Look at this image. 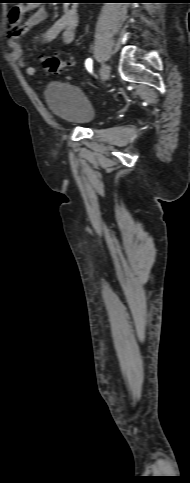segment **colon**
Segmentation results:
<instances>
[{
    "instance_id": "colon-1",
    "label": "colon",
    "mask_w": 190,
    "mask_h": 483,
    "mask_svg": "<svg viewBox=\"0 0 190 483\" xmlns=\"http://www.w3.org/2000/svg\"><path fill=\"white\" fill-rule=\"evenodd\" d=\"M71 64L70 60H62L53 54H47L43 57V69L47 74L60 75Z\"/></svg>"
}]
</instances>
